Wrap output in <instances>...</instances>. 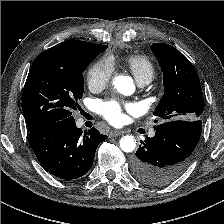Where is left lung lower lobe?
<instances>
[{
  "instance_id": "obj_1",
  "label": "left lung lower lobe",
  "mask_w": 224,
  "mask_h": 224,
  "mask_svg": "<svg viewBox=\"0 0 224 224\" xmlns=\"http://www.w3.org/2000/svg\"><path fill=\"white\" fill-rule=\"evenodd\" d=\"M156 134L141 142L132 160L134 176L152 186L177 179L188 167L202 131V121L175 120L155 126Z\"/></svg>"
}]
</instances>
